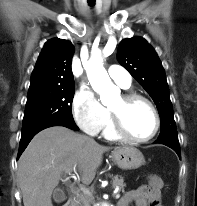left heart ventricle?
I'll return each instance as SVG.
<instances>
[{
	"label": "left heart ventricle",
	"mask_w": 197,
	"mask_h": 206,
	"mask_svg": "<svg viewBox=\"0 0 197 206\" xmlns=\"http://www.w3.org/2000/svg\"><path fill=\"white\" fill-rule=\"evenodd\" d=\"M109 108L122 115L123 122L129 133L138 138L149 136L155 126L154 115L144 102L125 105L122 98H117Z\"/></svg>",
	"instance_id": "left-heart-ventricle-1"
}]
</instances>
